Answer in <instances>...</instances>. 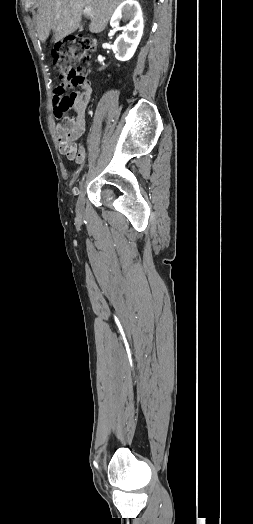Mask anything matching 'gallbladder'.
<instances>
[{"label": "gallbladder", "mask_w": 253, "mask_h": 524, "mask_svg": "<svg viewBox=\"0 0 253 524\" xmlns=\"http://www.w3.org/2000/svg\"><path fill=\"white\" fill-rule=\"evenodd\" d=\"M79 29H80V31H82L83 30V25H81Z\"/></svg>", "instance_id": "bac80fb5"}]
</instances>
